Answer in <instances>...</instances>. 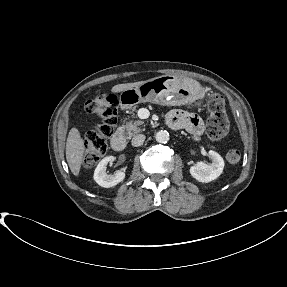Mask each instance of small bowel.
<instances>
[{
	"mask_svg": "<svg viewBox=\"0 0 287 287\" xmlns=\"http://www.w3.org/2000/svg\"><path fill=\"white\" fill-rule=\"evenodd\" d=\"M166 122L173 129H185L194 138H200L204 131L202 119L192 112L171 111L167 115Z\"/></svg>",
	"mask_w": 287,
	"mask_h": 287,
	"instance_id": "small-bowel-1",
	"label": "small bowel"
}]
</instances>
